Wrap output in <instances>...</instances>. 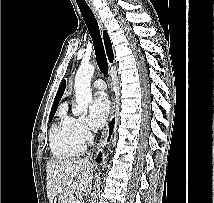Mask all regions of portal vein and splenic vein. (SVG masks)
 I'll list each match as a JSON object with an SVG mask.
<instances>
[{
  "label": "portal vein and splenic vein",
  "mask_w": 214,
  "mask_h": 203,
  "mask_svg": "<svg viewBox=\"0 0 214 203\" xmlns=\"http://www.w3.org/2000/svg\"><path fill=\"white\" fill-rule=\"evenodd\" d=\"M72 181H67L65 183H63V185L61 187L58 188V192H62V189L65 185H71ZM71 203H80L79 200H72Z\"/></svg>",
  "instance_id": "portal-vein-and-splenic-vein-1"
}]
</instances>
